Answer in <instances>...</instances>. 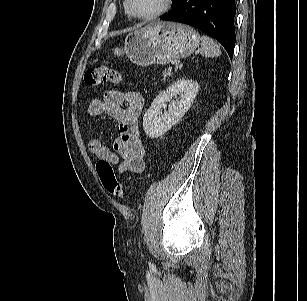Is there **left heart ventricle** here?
Returning <instances> with one entry per match:
<instances>
[{
  "label": "left heart ventricle",
  "mask_w": 307,
  "mask_h": 301,
  "mask_svg": "<svg viewBox=\"0 0 307 301\" xmlns=\"http://www.w3.org/2000/svg\"><path fill=\"white\" fill-rule=\"evenodd\" d=\"M164 0H132L134 10L142 15L150 14L163 6Z\"/></svg>",
  "instance_id": "b2bd125f"
}]
</instances>
